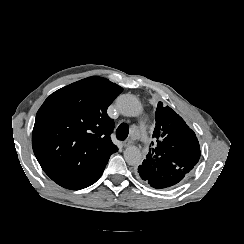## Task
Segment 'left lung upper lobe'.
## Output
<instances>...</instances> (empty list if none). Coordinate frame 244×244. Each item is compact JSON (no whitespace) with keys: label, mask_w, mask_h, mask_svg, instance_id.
<instances>
[{"label":"left lung upper lobe","mask_w":244,"mask_h":244,"mask_svg":"<svg viewBox=\"0 0 244 244\" xmlns=\"http://www.w3.org/2000/svg\"><path fill=\"white\" fill-rule=\"evenodd\" d=\"M153 137L155 148L149 149L147 158L166 161L174 169L189 173L200 158L198 139L185 121L169 106L158 103Z\"/></svg>","instance_id":"5c2ea615"}]
</instances>
